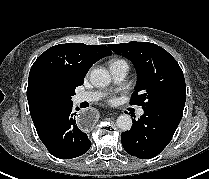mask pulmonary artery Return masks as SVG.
I'll use <instances>...</instances> for the list:
<instances>
[{
	"instance_id": "e3ab8cb5",
	"label": "pulmonary artery",
	"mask_w": 209,
	"mask_h": 179,
	"mask_svg": "<svg viewBox=\"0 0 209 179\" xmlns=\"http://www.w3.org/2000/svg\"><path fill=\"white\" fill-rule=\"evenodd\" d=\"M128 71H129V65L124 60H116L110 64V72L115 83H119L122 80H124V78L128 74ZM102 96L103 93L99 91L82 92L75 95L74 101L76 103L94 102L101 99ZM143 113H144L143 109L141 108L138 109L137 114L139 116L143 115Z\"/></svg>"
}]
</instances>
